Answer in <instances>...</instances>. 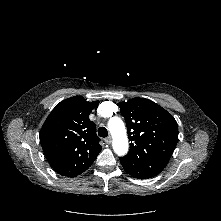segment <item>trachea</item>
<instances>
[{"label": "trachea", "instance_id": "obj_1", "mask_svg": "<svg viewBox=\"0 0 221 221\" xmlns=\"http://www.w3.org/2000/svg\"><path fill=\"white\" fill-rule=\"evenodd\" d=\"M98 135H99L100 137H103V138L107 137V136H108V131H107V129H106L105 127H100V128L98 129Z\"/></svg>", "mask_w": 221, "mask_h": 221}]
</instances>
